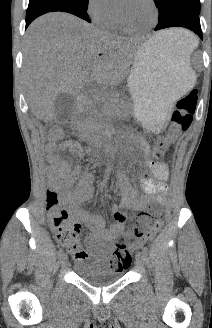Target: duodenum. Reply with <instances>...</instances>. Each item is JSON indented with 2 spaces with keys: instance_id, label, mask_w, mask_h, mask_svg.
<instances>
[{
  "instance_id": "1",
  "label": "duodenum",
  "mask_w": 212,
  "mask_h": 328,
  "mask_svg": "<svg viewBox=\"0 0 212 328\" xmlns=\"http://www.w3.org/2000/svg\"><path fill=\"white\" fill-rule=\"evenodd\" d=\"M83 96H84V98L86 99V98H89L90 96H91V94H90V92L89 91H85L84 93H83ZM80 104H78L77 106H76V108H75V110H74V112L75 113H78L79 112V110H80Z\"/></svg>"
}]
</instances>
